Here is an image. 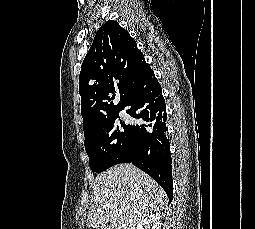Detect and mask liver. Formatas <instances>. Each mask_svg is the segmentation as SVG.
<instances>
[{"instance_id":"liver-1","label":"liver","mask_w":255,"mask_h":229,"mask_svg":"<svg viewBox=\"0 0 255 229\" xmlns=\"http://www.w3.org/2000/svg\"><path fill=\"white\" fill-rule=\"evenodd\" d=\"M166 202L162 187L132 164H119L99 174L93 185V201L87 226L101 229H136L149 213Z\"/></svg>"}]
</instances>
